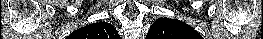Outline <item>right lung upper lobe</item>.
I'll list each match as a JSON object with an SVG mask.
<instances>
[{"label":"right lung upper lobe","instance_id":"right-lung-upper-lobe-1","mask_svg":"<svg viewBox=\"0 0 263 39\" xmlns=\"http://www.w3.org/2000/svg\"><path fill=\"white\" fill-rule=\"evenodd\" d=\"M75 33L83 39H120L114 26L106 22L87 25L76 30Z\"/></svg>","mask_w":263,"mask_h":39}]
</instances>
